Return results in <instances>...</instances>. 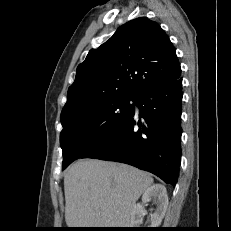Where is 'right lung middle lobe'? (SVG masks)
<instances>
[{
  "label": "right lung middle lobe",
  "instance_id": "right-lung-middle-lobe-1",
  "mask_svg": "<svg viewBox=\"0 0 231 231\" xmlns=\"http://www.w3.org/2000/svg\"><path fill=\"white\" fill-rule=\"evenodd\" d=\"M134 104V96H124L61 116L62 169L120 129L134 113Z\"/></svg>",
  "mask_w": 231,
  "mask_h": 231
}]
</instances>
